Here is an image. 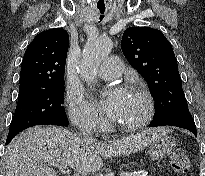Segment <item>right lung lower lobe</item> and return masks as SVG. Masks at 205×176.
<instances>
[{
  "mask_svg": "<svg viewBox=\"0 0 205 176\" xmlns=\"http://www.w3.org/2000/svg\"><path fill=\"white\" fill-rule=\"evenodd\" d=\"M10 141L6 140V144H8Z\"/></svg>",
  "mask_w": 205,
  "mask_h": 176,
  "instance_id": "right-lung-lower-lobe-1",
  "label": "right lung lower lobe"
}]
</instances>
